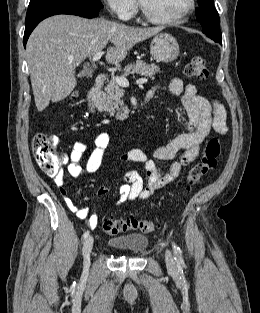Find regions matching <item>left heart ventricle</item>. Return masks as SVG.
<instances>
[{"instance_id":"left-heart-ventricle-1","label":"left heart ventricle","mask_w":260,"mask_h":313,"mask_svg":"<svg viewBox=\"0 0 260 313\" xmlns=\"http://www.w3.org/2000/svg\"><path fill=\"white\" fill-rule=\"evenodd\" d=\"M144 6L154 15L170 18L181 13L188 4V0H141Z\"/></svg>"}]
</instances>
